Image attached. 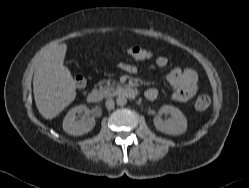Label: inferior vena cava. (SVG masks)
Masks as SVG:
<instances>
[{"label": "inferior vena cava", "instance_id": "inferior-vena-cava-1", "mask_svg": "<svg viewBox=\"0 0 249 188\" xmlns=\"http://www.w3.org/2000/svg\"><path fill=\"white\" fill-rule=\"evenodd\" d=\"M105 105H106V108L111 110L114 108L115 106V102L113 99H108L106 102H105Z\"/></svg>", "mask_w": 249, "mask_h": 188}]
</instances>
